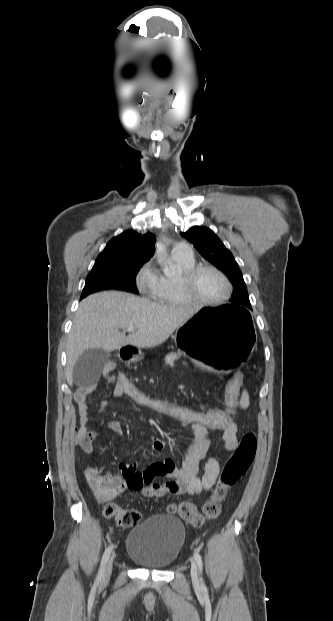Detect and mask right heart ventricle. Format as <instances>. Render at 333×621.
<instances>
[{
  "mask_svg": "<svg viewBox=\"0 0 333 621\" xmlns=\"http://www.w3.org/2000/svg\"><path fill=\"white\" fill-rule=\"evenodd\" d=\"M171 260L177 267L178 273L175 276H159L158 287L152 297L155 301L164 305H188L190 302L181 290L180 278L184 272L195 266V260L193 257L186 258L174 254H172Z\"/></svg>",
  "mask_w": 333,
  "mask_h": 621,
  "instance_id": "1",
  "label": "right heart ventricle"
}]
</instances>
